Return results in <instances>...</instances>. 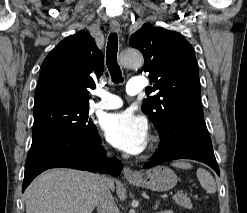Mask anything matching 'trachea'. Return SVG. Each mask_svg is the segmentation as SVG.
Returning <instances> with one entry per match:
<instances>
[{"mask_svg":"<svg viewBox=\"0 0 247 213\" xmlns=\"http://www.w3.org/2000/svg\"><path fill=\"white\" fill-rule=\"evenodd\" d=\"M118 38L116 33H111L108 37L106 64L114 83H122L123 77L120 66L117 62Z\"/></svg>","mask_w":247,"mask_h":213,"instance_id":"3493384b","label":"trachea"}]
</instances>
